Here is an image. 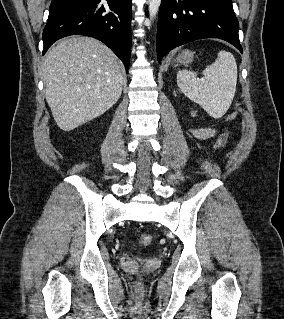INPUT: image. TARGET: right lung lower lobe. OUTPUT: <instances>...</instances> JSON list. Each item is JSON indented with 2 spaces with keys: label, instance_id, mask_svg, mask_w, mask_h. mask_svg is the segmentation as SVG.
<instances>
[{
  "label": "right lung lower lobe",
  "instance_id": "1",
  "mask_svg": "<svg viewBox=\"0 0 284 319\" xmlns=\"http://www.w3.org/2000/svg\"><path fill=\"white\" fill-rule=\"evenodd\" d=\"M86 35L105 43L129 68L131 0H52L43 54L58 39Z\"/></svg>",
  "mask_w": 284,
  "mask_h": 319
}]
</instances>
